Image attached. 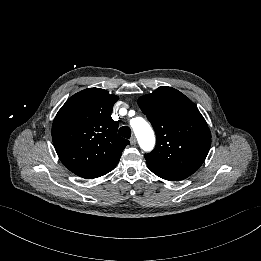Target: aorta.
<instances>
[{
    "label": "aorta",
    "mask_w": 261,
    "mask_h": 261,
    "mask_svg": "<svg viewBox=\"0 0 261 261\" xmlns=\"http://www.w3.org/2000/svg\"><path fill=\"white\" fill-rule=\"evenodd\" d=\"M130 124L140 147L146 152L151 151L154 148L155 136L150 125L141 117L131 119Z\"/></svg>",
    "instance_id": "obj_1"
}]
</instances>
